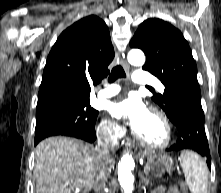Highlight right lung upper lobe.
I'll return each instance as SVG.
<instances>
[{
    "mask_svg": "<svg viewBox=\"0 0 221 193\" xmlns=\"http://www.w3.org/2000/svg\"><path fill=\"white\" fill-rule=\"evenodd\" d=\"M114 56L103 20L90 15L77 21L62 32L48 55L37 105L89 100L90 84L109 73Z\"/></svg>",
    "mask_w": 221,
    "mask_h": 193,
    "instance_id": "right-lung-upper-lobe-1",
    "label": "right lung upper lobe"
}]
</instances>
